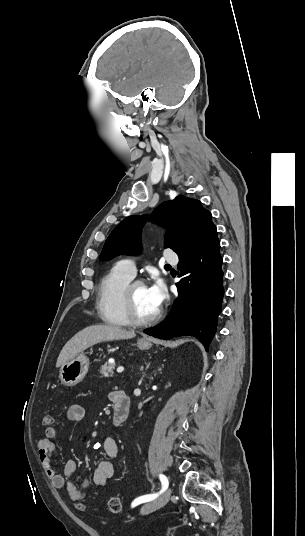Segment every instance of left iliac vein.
Returning <instances> with one entry per match:
<instances>
[{"label":"left iliac vein","mask_w":305,"mask_h":536,"mask_svg":"<svg viewBox=\"0 0 305 536\" xmlns=\"http://www.w3.org/2000/svg\"><path fill=\"white\" fill-rule=\"evenodd\" d=\"M172 490L170 488L166 489L165 492L158 497L157 499L144 504L141 507L140 513L141 514H148L156 509H159L160 507L164 506L168 500L171 498Z\"/></svg>","instance_id":"1"}]
</instances>
